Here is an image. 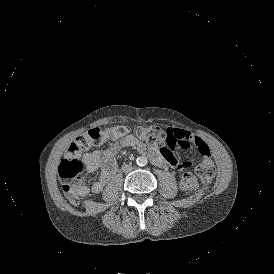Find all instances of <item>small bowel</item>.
I'll list each match as a JSON object with an SVG mask.
<instances>
[{
	"mask_svg": "<svg viewBox=\"0 0 274 274\" xmlns=\"http://www.w3.org/2000/svg\"><path fill=\"white\" fill-rule=\"evenodd\" d=\"M90 146L91 144L85 146V153L83 155L86 170L89 173L100 170V174L90 187L86 185V179L81 178L78 183L80 196H86L89 193L99 194L103 190L117 170L115 155L123 147H135L141 154L149 157L153 164L158 167L163 168L170 166L174 169L181 170L189 167L190 163L179 162L175 150L178 147L181 149H187L189 146H192L193 148L198 149L200 152V158L203 161H207V166L201 164L197 167V174L200 175L209 185L214 184L216 181L215 176L208 169H213L217 165L216 160L211 158V151L209 150L208 143L195 134L178 129L177 127H172L169 130V140L167 142V147L164 149V155L167 157L168 161L157 147L147 146L131 135L126 136L117 144L116 147L113 148L91 151Z\"/></svg>",
	"mask_w": 274,
	"mask_h": 274,
	"instance_id": "obj_1",
	"label": "small bowel"
}]
</instances>
